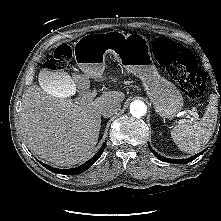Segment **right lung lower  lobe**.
I'll use <instances>...</instances> for the list:
<instances>
[{
    "instance_id": "right-lung-lower-lobe-1",
    "label": "right lung lower lobe",
    "mask_w": 221,
    "mask_h": 221,
    "mask_svg": "<svg viewBox=\"0 0 221 221\" xmlns=\"http://www.w3.org/2000/svg\"><path fill=\"white\" fill-rule=\"evenodd\" d=\"M105 144L106 142H104V144L102 145V147L100 148V150L90 159L88 160L86 163H84L83 165H80L76 168H72V169H57V168H53L51 166H48L42 162H40V164H42L45 168H47L48 170L54 172V173H60V174H64V175H76V174H80L84 171H86L90 166H92V164L94 162H96L98 160V158L102 155L104 148H105Z\"/></svg>"
}]
</instances>
